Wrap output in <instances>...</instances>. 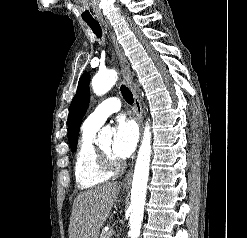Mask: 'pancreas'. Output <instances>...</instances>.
Segmentation results:
<instances>
[{
  "instance_id": "pancreas-1",
  "label": "pancreas",
  "mask_w": 247,
  "mask_h": 238,
  "mask_svg": "<svg viewBox=\"0 0 247 238\" xmlns=\"http://www.w3.org/2000/svg\"><path fill=\"white\" fill-rule=\"evenodd\" d=\"M100 238H111V233L107 231H102Z\"/></svg>"
}]
</instances>
